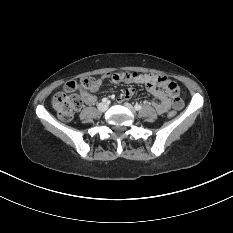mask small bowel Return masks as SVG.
I'll return each mask as SVG.
<instances>
[{"label": "small bowel", "instance_id": "small-bowel-1", "mask_svg": "<svg viewBox=\"0 0 233 233\" xmlns=\"http://www.w3.org/2000/svg\"><path fill=\"white\" fill-rule=\"evenodd\" d=\"M108 78L113 83H138L144 84L147 91L150 92L156 99L153 103L156 111L159 114L167 113L171 108L180 109L183 106V102L178 97L179 88L176 83L163 75L156 74H136V73H106L102 77L95 81V84L91 88L92 91L100 89L103 81ZM135 93L133 88H128L122 94L121 99H128ZM95 96L90 92L84 93V101L86 104H93L95 102Z\"/></svg>", "mask_w": 233, "mask_h": 233}]
</instances>
